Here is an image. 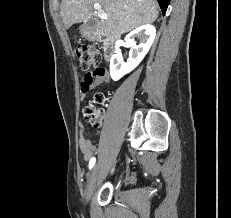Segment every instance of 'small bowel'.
Masks as SVG:
<instances>
[{
  "instance_id": "small-bowel-1",
  "label": "small bowel",
  "mask_w": 231,
  "mask_h": 218,
  "mask_svg": "<svg viewBox=\"0 0 231 218\" xmlns=\"http://www.w3.org/2000/svg\"><path fill=\"white\" fill-rule=\"evenodd\" d=\"M84 74L81 82L82 97H85L91 89L103 85L110 80L108 72L100 66H97L96 69H84ZM79 129V148L83 154L84 160L90 161L96 151V145L85 136V127L82 123L79 124Z\"/></svg>"
}]
</instances>
